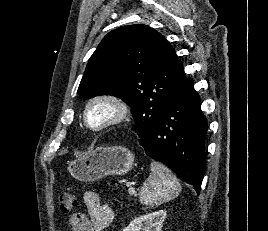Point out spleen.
Returning a JSON list of instances; mask_svg holds the SVG:
<instances>
[{"label": "spleen", "mask_w": 268, "mask_h": 231, "mask_svg": "<svg viewBox=\"0 0 268 231\" xmlns=\"http://www.w3.org/2000/svg\"><path fill=\"white\" fill-rule=\"evenodd\" d=\"M181 191L177 177L163 164L152 161L151 173L139 191V200L147 206H159L176 198Z\"/></svg>", "instance_id": "1"}]
</instances>
